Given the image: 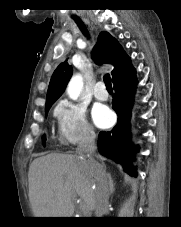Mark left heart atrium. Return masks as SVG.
<instances>
[{
    "instance_id": "39dd6f15",
    "label": "left heart atrium",
    "mask_w": 181,
    "mask_h": 227,
    "mask_svg": "<svg viewBox=\"0 0 181 227\" xmlns=\"http://www.w3.org/2000/svg\"><path fill=\"white\" fill-rule=\"evenodd\" d=\"M94 123L101 128L108 127L113 122V114L106 106H96L92 111Z\"/></svg>"
}]
</instances>
